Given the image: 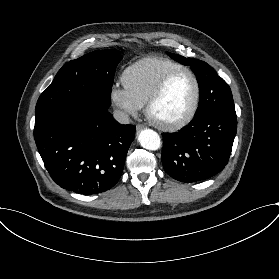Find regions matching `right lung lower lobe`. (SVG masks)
Returning a JSON list of instances; mask_svg holds the SVG:
<instances>
[{
    "instance_id": "1",
    "label": "right lung lower lobe",
    "mask_w": 279,
    "mask_h": 279,
    "mask_svg": "<svg viewBox=\"0 0 279 279\" xmlns=\"http://www.w3.org/2000/svg\"><path fill=\"white\" fill-rule=\"evenodd\" d=\"M35 113V142L56 184L93 195L118 182L135 126L119 124L108 107L88 96L52 103Z\"/></svg>"
}]
</instances>
